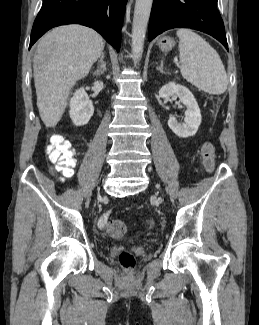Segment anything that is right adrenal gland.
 <instances>
[{
  "mask_svg": "<svg viewBox=\"0 0 259 325\" xmlns=\"http://www.w3.org/2000/svg\"><path fill=\"white\" fill-rule=\"evenodd\" d=\"M107 71L106 62L104 61V53H102L97 69L93 72V75L98 77Z\"/></svg>",
  "mask_w": 259,
  "mask_h": 325,
  "instance_id": "right-adrenal-gland-1",
  "label": "right adrenal gland"
}]
</instances>
